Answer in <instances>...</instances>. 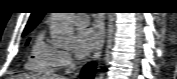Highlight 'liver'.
<instances>
[{
	"mask_svg": "<svg viewBox=\"0 0 177 79\" xmlns=\"http://www.w3.org/2000/svg\"><path fill=\"white\" fill-rule=\"evenodd\" d=\"M15 79H65L64 77L57 76V75H19L15 76Z\"/></svg>",
	"mask_w": 177,
	"mask_h": 79,
	"instance_id": "obj_1",
	"label": "liver"
}]
</instances>
